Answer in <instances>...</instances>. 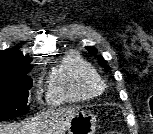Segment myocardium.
<instances>
[{
	"mask_svg": "<svg viewBox=\"0 0 153 134\" xmlns=\"http://www.w3.org/2000/svg\"><path fill=\"white\" fill-rule=\"evenodd\" d=\"M100 86H101V88H103L105 86L104 81H102L101 79H100Z\"/></svg>",
	"mask_w": 153,
	"mask_h": 134,
	"instance_id": "f54148a6",
	"label": "myocardium"
}]
</instances>
